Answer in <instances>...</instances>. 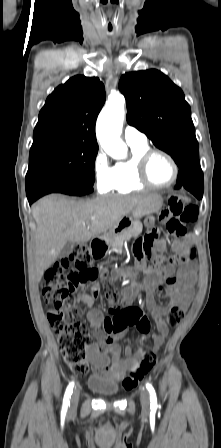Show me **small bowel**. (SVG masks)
<instances>
[{"label": "small bowel", "instance_id": "1", "mask_svg": "<svg viewBox=\"0 0 221 448\" xmlns=\"http://www.w3.org/2000/svg\"><path fill=\"white\" fill-rule=\"evenodd\" d=\"M147 224L151 228L150 236L154 238L153 220H148ZM143 243L144 240H139L136 247L142 246ZM190 245L191 241L188 237L176 240L173 243V254L167 258L165 263H162L160 255L165 250L166 242L162 238H154L153 240V258L156 263L148 270L146 280V287L148 289L146 307L154 317L159 330V334L152 337L154 349H158L168 336V326L162 319V316L172 307H180L186 310L190 305L193 295V285L196 280L195 270L189 262H177V256L184 253ZM175 271H177L178 282L167 285L166 277ZM163 287L166 289L169 303L166 306H159L155 303L153 294L157 289ZM99 295L100 288L95 284L92 289V295L80 294L75 299V303L84 304L89 309L87 320L91 329L99 339L97 343H92L88 346V358L95 372L105 373L110 376L111 380L121 383L138 363L143 351L134 355L132 349L126 347L124 351L125 358L120 359V347L117 344V340L123 336L127 327L130 325L118 327L113 331H107L105 329V332L101 328L102 325L105 326L106 322L118 326L120 322L125 320L123 310L132 305L136 296V287L129 286L125 288L121 293V297H117L116 302H111L109 317H105L100 309L94 307L95 299ZM51 311L50 309L48 314ZM112 332L113 334H111Z\"/></svg>", "mask_w": 221, "mask_h": 448}]
</instances>
